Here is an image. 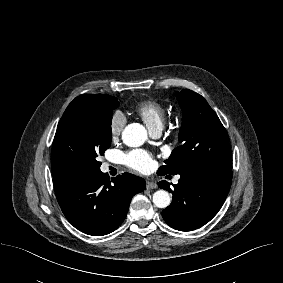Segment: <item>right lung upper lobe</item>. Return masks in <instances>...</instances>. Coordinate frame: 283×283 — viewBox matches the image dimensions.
Returning a JSON list of instances; mask_svg holds the SVG:
<instances>
[{
	"label": "right lung upper lobe",
	"mask_w": 283,
	"mask_h": 283,
	"mask_svg": "<svg viewBox=\"0 0 283 283\" xmlns=\"http://www.w3.org/2000/svg\"><path fill=\"white\" fill-rule=\"evenodd\" d=\"M106 96L107 95H103V94H83L75 98L71 103L87 102L92 99L105 98ZM54 187H55V190L61 189V187H57L56 185Z\"/></svg>",
	"instance_id": "right-lung-upper-lobe-1"
}]
</instances>
